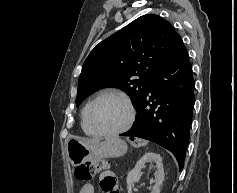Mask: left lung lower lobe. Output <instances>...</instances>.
<instances>
[{"label":"left lung lower lobe","instance_id":"0a47b994","mask_svg":"<svg viewBox=\"0 0 237 193\" xmlns=\"http://www.w3.org/2000/svg\"><path fill=\"white\" fill-rule=\"evenodd\" d=\"M194 87L188 52L181 41L142 98L134 126L121 136L159 144L175 155L183 169L195 103Z\"/></svg>","mask_w":237,"mask_h":193}]
</instances>
